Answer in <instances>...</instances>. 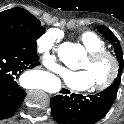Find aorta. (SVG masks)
Returning <instances> with one entry per match:
<instances>
[{"label":"aorta","mask_w":124,"mask_h":124,"mask_svg":"<svg viewBox=\"0 0 124 124\" xmlns=\"http://www.w3.org/2000/svg\"><path fill=\"white\" fill-rule=\"evenodd\" d=\"M65 49L75 60L84 55V49L75 44H67ZM43 89L49 93H57L61 89V82L57 77L52 76L43 84Z\"/></svg>","instance_id":"762f6f07"}]
</instances>
